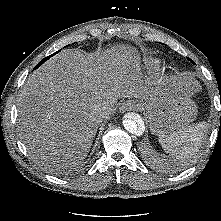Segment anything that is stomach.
Instances as JSON below:
<instances>
[{
	"label": "stomach",
	"instance_id": "0dacf381",
	"mask_svg": "<svg viewBox=\"0 0 221 221\" xmlns=\"http://www.w3.org/2000/svg\"><path fill=\"white\" fill-rule=\"evenodd\" d=\"M159 102L148 107L151 130L160 136L182 129L192 122L197 106L182 88L159 93Z\"/></svg>",
	"mask_w": 221,
	"mask_h": 221
}]
</instances>
